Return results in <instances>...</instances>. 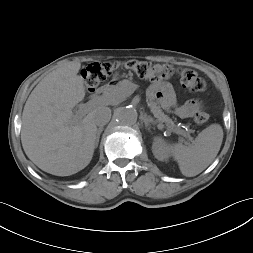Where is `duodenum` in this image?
<instances>
[{"label":"duodenum","mask_w":253,"mask_h":253,"mask_svg":"<svg viewBox=\"0 0 253 253\" xmlns=\"http://www.w3.org/2000/svg\"><path fill=\"white\" fill-rule=\"evenodd\" d=\"M106 90V87H101L99 90H98V94H102L104 91Z\"/></svg>","instance_id":"duodenum-1"}]
</instances>
